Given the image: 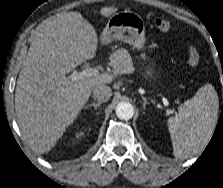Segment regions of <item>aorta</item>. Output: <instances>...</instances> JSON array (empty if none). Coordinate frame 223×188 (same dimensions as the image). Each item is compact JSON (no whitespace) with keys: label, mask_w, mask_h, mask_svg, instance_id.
I'll return each instance as SVG.
<instances>
[{"label":"aorta","mask_w":223,"mask_h":188,"mask_svg":"<svg viewBox=\"0 0 223 188\" xmlns=\"http://www.w3.org/2000/svg\"><path fill=\"white\" fill-rule=\"evenodd\" d=\"M116 115L121 120H129L134 115V108L130 103L120 102L116 106Z\"/></svg>","instance_id":"1"}]
</instances>
